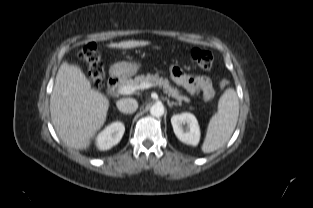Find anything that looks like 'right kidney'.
<instances>
[{
  "instance_id": "1",
  "label": "right kidney",
  "mask_w": 313,
  "mask_h": 208,
  "mask_svg": "<svg viewBox=\"0 0 313 208\" xmlns=\"http://www.w3.org/2000/svg\"><path fill=\"white\" fill-rule=\"evenodd\" d=\"M125 132L122 122H114L101 131L96 138V146L100 150H109L117 145Z\"/></svg>"
}]
</instances>
